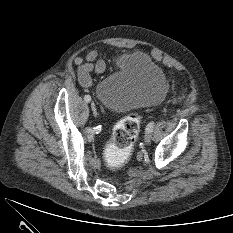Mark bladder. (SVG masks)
I'll return each instance as SVG.
<instances>
[{"instance_id":"bladder-1","label":"bladder","mask_w":233,"mask_h":233,"mask_svg":"<svg viewBox=\"0 0 233 233\" xmlns=\"http://www.w3.org/2000/svg\"><path fill=\"white\" fill-rule=\"evenodd\" d=\"M167 92L164 71L143 52L123 56L118 69L103 79L96 89L101 104L116 114L157 105Z\"/></svg>"}]
</instances>
